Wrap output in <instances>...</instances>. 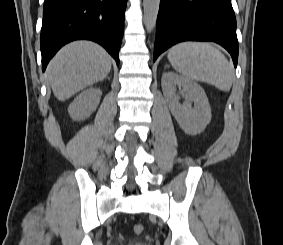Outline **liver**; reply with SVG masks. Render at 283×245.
Instances as JSON below:
<instances>
[{"label": "liver", "instance_id": "1", "mask_svg": "<svg viewBox=\"0 0 283 245\" xmlns=\"http://www.w3.org/2000/svg\"><path fill=\"white\" fill-rule=\"evenodd\" d=\"M110 70L111 57L101 46L90 41H75L55 55L46 75L55 97L65 101L106 78Z\"/></svg>", "mask_w": 283, "mask_h": 245}]
</instances>
